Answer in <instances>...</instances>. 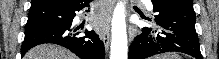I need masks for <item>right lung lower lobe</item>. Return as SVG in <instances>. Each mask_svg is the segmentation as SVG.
<instances>
[{"mask_svg": "<svg viewBox=\"0 0 219 59\" xmlns=\"http://www.w3.org/2000/svg\"><path fill=\"white\" fill-rule=\"evenodd\" d=\"M90 0H79L70 7L56 8L62 12L59 23L46 25L25 31V38L21 47V55L32 47L54 43L66 47L81 59H104V43L99 39L94 31H80L72 26L76 11L89 6ZM42 9H45L42 7ZM52 9V7H47ZM45 9V10H47ZM85 33V36L82 34Z\"/></svg>", "mask_w": 219, "mask_h": 59, "instance_id": "right-lung-lower-lobe-1", "label": "right lung lower lobe"}]
</instances>
